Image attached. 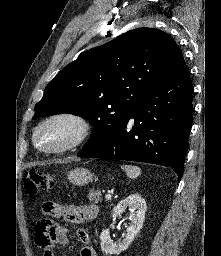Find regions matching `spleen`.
Returning a JSON list of instances; mask_svg holds the SVG:
<instances>
[{
	"instance_id": "3e777b00",
	"label": "spleen",
	"mask_w": 221,
	"mask_h": 256,
	"mask_svg": "<svg viewBox=\"0 0 221 256\" xmlns=\"http://www.w3.org/2000/svg\"><path fill=\"white\" fill-rule=\"evenodd\" d=\"M121 168L125 171L129 178H137L141 173V169L137 166L123 165Z\"/></svg>"
}]
</instances>
